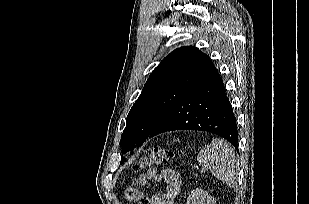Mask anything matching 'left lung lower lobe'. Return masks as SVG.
<instances>
[{"label": "left lung lower lobe", "instance_id": "1", "mask_svg": "<svg viewBox=\"0 0 309 204\" xmlns=\"http://www.w3.org/2000/svg\"><path fill=\"white\" fill-rule=\"evenodd\" d=\"M173 130L212 132L238 149L236 118L218 73L176 102L146 139Z\"/></svg>", "mask_w": 309, "mask_h": 204}]
</instances>
